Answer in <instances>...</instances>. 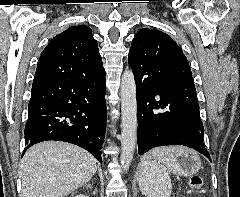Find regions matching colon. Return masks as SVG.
<instances>
[{
    "mask_svg": "<svg viewBox=\"0 0 240 197\" xmlns=\"http://www.w3.org/2000/svg\"><path fill=\"white\" fill-rule=\"evenodd\" d=\"M202 184H203V181L201 177L193 176L190 180V188H191L192 194L199 195Z\"/></svg>",
    "mask_w": 240,
    "mask_h": 197,
    "instance_id": "5ec220e1",
    "label": "colon"
}]
</instances>
